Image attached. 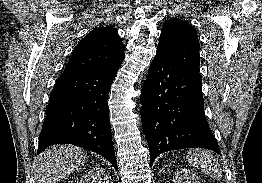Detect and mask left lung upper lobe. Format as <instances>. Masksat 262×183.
Masks as SVG:
<instances>
[{"label": "left lung upper lobe", "instance_id": "left-lung-upper-lobe-1", "mask_svg": "<svg viewBox=\"0 0 262 183\" xmlns=\"http://www.w3.org/2000/svg\"><path fill=\"white\" fill-rule=\"evenodd\" d=\"M199 50L197 31L187 21L172 18L164 24L156 55L199 72Z\"/></svg>", "mask_w": 262, "mask_h": 183}]
</instances>
